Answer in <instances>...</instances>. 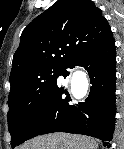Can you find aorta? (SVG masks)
<instances>
[{
    "mask_svg": "<svg viewBox=\"0 0 124 149\" xmlns=\"http://www.w3.org/2000/svg\"><path fill=\"white\" fill-rule=\"evenodd\" d=\"M77 81H83V76L80 73H75L72 79V86L75 87Z\"/></svg>",
    "mask_w": 124,
    "mask_h": 149,
    "instance_id": "762f6f07",
    "label": "aorta"
}]
</instances>
